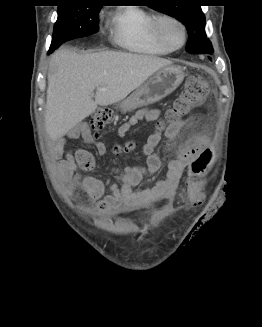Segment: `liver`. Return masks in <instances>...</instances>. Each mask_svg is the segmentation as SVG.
<instances>
[{
    "label": "liver",
    "instance_id": "1",
    "mask_svg": "<svg viewBox=\"0 0 262 327\" xmlns=\"http://www.w3.org/2000/svg\"><path fill=\"white\" fill-rule=\"evenodd\" d=\"M172 62L151 55L115 51L78 54L67 48L51 57L45 128L53 140L65 135L99 106L127 97ZM105 88V91H100ZM96 89L95 100H93Z\"/></svg>",
    "mask_w": 262,
    "mask_h": 327
}]
</instances>
